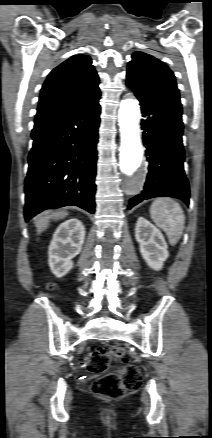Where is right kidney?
<instances>
[{
    "mask_svg": "<svg viewBox=\"0 0 212 438\" xmlns=\"http://www.w3.org/2000/svg\"><path fill=\"white\" fill-rule=\"evenodd\" d=\"M85 228L76 218L69 219L58 226L49 245V266L56 277H63L72 268V259L82 249Z\"/></svg>",
    "mask_w": 212,
    "mask_h": 438,
    "instance_id": "right-kidney-1",
    "label": "right kidney"
}]
</instances>
